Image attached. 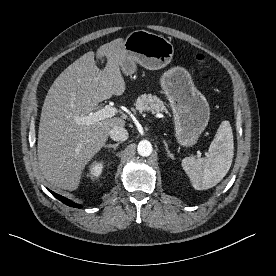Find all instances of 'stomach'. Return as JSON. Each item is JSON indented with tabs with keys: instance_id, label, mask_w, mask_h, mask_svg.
<instances>
[{
	"instance_id": "0dacf381",
	"label": "stomach",
	"mask_w": 276,
	"mask_h": 276,
	"mask_svg": "<svg viewBox=\"0 0 276 276\" xmlns=\"http://www.w3.org/2000/svg\"><path fill=\"white\" fill-rule=\"evenodd\" d=\"M173 55L174 47L166 38L136 30L124 40L120 68L126 76L136 72L137 64L158 70L167 66ZM160 84L172 109L177 142L185 147L193 146L208 124V101L196 89L190 73L184 68L173 67L166 71Z\"/></svg>"
}]
</instances>
